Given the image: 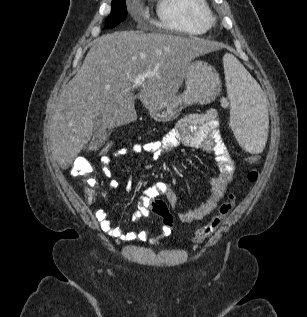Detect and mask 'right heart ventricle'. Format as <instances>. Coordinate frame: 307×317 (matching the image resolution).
Returning a JSON list of instances; mask_svg holds the SVG:
<instances>
[{
  "label": "right heart ventricle",
  "mask_w": 307,
  "mask_h": 317,
  "mask_svg": "<svg viewBox=\"0 0 307 317\" xmlns=\"http://www.w3.org/2000/svg\"><path fill=\"white\" fill-rule=\"evenodd\" d=\"M159 26L180 34L202 35L208 30L206 0H157Z\"/></svg>",
  "instance_id": "e07e8e85"
}]
</instances>
